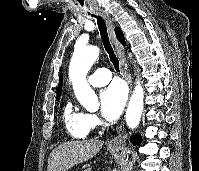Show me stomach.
<instances>
[{
  "instance_id": "stomach-1",
  "label": "stomach",
  "mask_w": 199,
  "mask_h": 171,
  "mask_svg": "<svg viewBox=\"0 0 199 171\" xmlns=\"http://www.w3.org/2000/svg\"><path fill=\"white\" fill-rule=\"evenodd\" d=\"M112 151H119L121 150V147H118V148H110Z\"/></svg>"
}]
</instances>
